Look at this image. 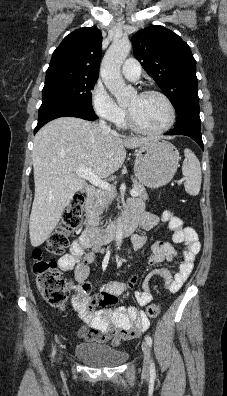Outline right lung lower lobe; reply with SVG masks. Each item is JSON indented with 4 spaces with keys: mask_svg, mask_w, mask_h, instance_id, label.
<instances>
[{
    "mask_svg": "<svg viewBox=\"0 0 227 396\" xmlns=\"http://www.w3.org/2000/svg\"><path fill=\"white\" fill-rule=\"evenodd\" d=\"M65 116L82 118L89 121L98 118L94 112L87 111L76 104L65 101L52 102L41 105L38 115V124L34 130V134L47 122Z\"/></svg>",
    "mask_w": 227,
    "mask_h": 396,
    "instance_id": "1",
    "label": "right lung lower lobe"
}]
</instances>
